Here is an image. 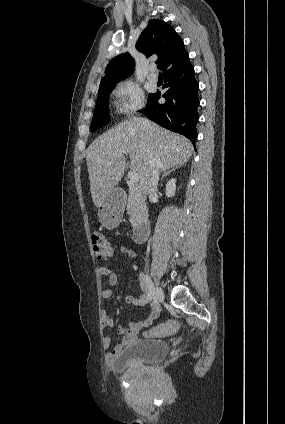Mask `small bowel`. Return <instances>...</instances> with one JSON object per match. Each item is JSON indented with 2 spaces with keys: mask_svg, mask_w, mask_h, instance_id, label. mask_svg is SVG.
<instances>
[{
  "mask_svg": "<svg viewBox=\"0 0 285 424\" xmlns=\"http://www.w3.org/2000/svg\"><path fill=\"white\" fill-rule=\"evenodd\" d=\"M120 252L132 259H137L138 254L133 249L127 247V246H121ZM98 273L101 276H107L108 277V283L110 286H114L118 282V277L114 271L107 267H99ZM140 288H141V294L138 297L134 296H127L125 298V302L128 304H133L136 306H146L149 304V297H148V291L146 289V284L144 282V279L142 278V275H140ZM113 292L110 288H105L102 290L101 295L103 298L108 299L112 296ZM156 316V308H153L150 312L149 317L146 320H136L131 322L128 326H119L117 331L118 334L121 335L122 340L119 344H117L111 351L107 352L105 354V362L107 364H112L116 358V355L123 349L125 346L134 343L138 340L139 333L144 327L149 326L153 319ZM114 325V319L113 317L106 311L102 313L101 318V327L102 328H109ZM104 345L109 346L111 344V338L109 336H106L104 338Z\"/></svg>",
  "mask_w": 285,
  "mask_h": 424,
  "instance_id": "obj_1",
  "label": "small bowel"
}]
</instances>
